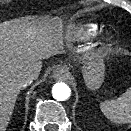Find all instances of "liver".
<instances>
[{"mask_svg":"<svg viewBox=\"0 0 131 131\" xmlns=\"http://www.w3.org/2000/svg\"><path fill=\"white\" fill-rule=\"evenodd\" d=\"M65 34L62 24L27 20L0 24V131H5L18 93L22 73L33 70L37 76L42 59L62 52Z\"/></svg>","mask_w":131,"mask_h":131,"instance_id":"6515ba94","label":"liver"}]
</instances>
